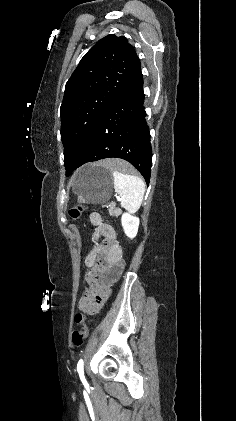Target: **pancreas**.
I'll use <instances>...</instances> for the list:
<instances>
[{
    "label": "pancreas",
    "mask_w": 236,
    "mask_h": 421,
    "mask_svg": "<svg viewBox=\"0 0 236 421\" xmlns=\"http://www.w3.org/2000/svg\"><path fill=\"white\" fill-rule=\"evenodd\" d=\"M109 215H111V217H119L121 211L120 208H116V202H111L109 208Z\"/></svg>",
    "instance_id": "1"
}]
</instances>
